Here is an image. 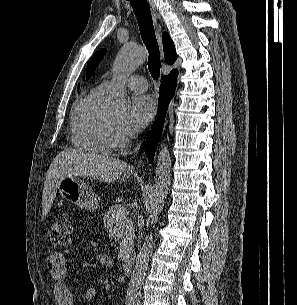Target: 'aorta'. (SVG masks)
Listing matches in <instances>:
<instances>
[{
  "instance_id": "1",
  "label": "aorta",
  "mask_w": 297,
  "mask_h": 305,
  "mask_svg": "<svg viewBox=\"0 0 297 305\" xmlns=\"http://www.w3.org/2000/svg\"><path fill=\"white\" fill-rule=\"evenodd\" d=\"M147 52L143 48L124 45L119 51L113 66L114 81L111 86L107 106L115 114H123L127 109L126 90L123 78L144 63ZM171 157L168 146L161 144L157 156L156 177L151 198L150 222L152 229L158 220L171 183ZM154 246L153 232L146 235L137 255L135 266L128 284L127 296L136 297L141 289L148 262Z\"/></svg>"
}]
</instances>
